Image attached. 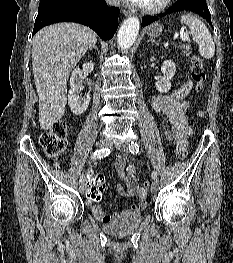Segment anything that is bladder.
<instances>
[{
	"label": "bladder",
	"mask_w": 233,
	"mask_h": 263,
	"mask_svg": "<svg viewBox=\"0 0 233 263\" xmlns=\"http://www.w3.org/2000/svg\"><path fill=\"white\" fill-rule=\"evenodd\" d=\"M142 213L126 209L117 214L110 222L104 223L102 229L111 236L121 237L132 233L142 221Z\"/></svg>",
	"instance_id": "1"
}]
</instances>
